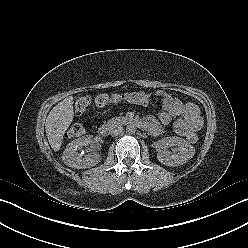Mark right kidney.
Listing matches in <instances>:
<instances>
[{
	"label": "right kidney",
	"mask_w": 248,
	"mask_h": 248,
	"mask_svg": "<svg viewBox=\"0 0 248 248\" xmlns=\"http://www.w3.org/2000/svg\"><path fill=\"white\" fill-rule=\"evenodd\" d=\"M93 143L92 136H83L78 139L73 140L66 146L63 152L62 160L63 162L72 168L85 169L95 166L101 161V156L97 153L88 154L85 157H81L78 150L83 146H89Z\"/></svg>",
	"instance_id": "right-kidney-1"
}]
</instances>
